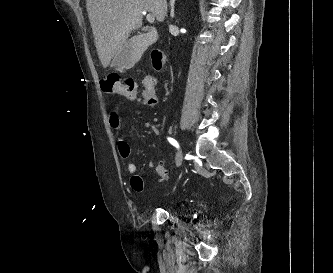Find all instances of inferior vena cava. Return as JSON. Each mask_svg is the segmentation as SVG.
Here are the masks:
<instances>
[{
    "mask_svg": "<svg viewBox=\"0 0 333 273\" xmlns=\"http://www.w3.org/2000/svg\"><path fill=\"white\" fill-rule=\"evenodd\" d=\"M162 9H163L164 15L167 16V2H166V0H163Z\"/></svg>",
    "mask_w": 333,
    "mask_h": 273,
    "instance_id": "1",
    "label": "inferior vena cava"
}]
</instances>
